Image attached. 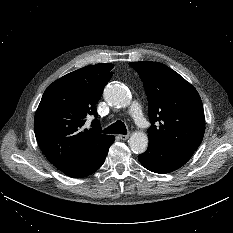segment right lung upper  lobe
Listing matches in <instances>:
<instances>
[{
    "instance_id": "obj_1",
    "label": "right lung upper lobe",
    "mask_w": 233,
    "mask_h": 233,
    "mask_svg": "<svg viewBox=\"0 0 233 233\" xmlns=\"http://www.w3.org/2000/svg\"><path fill=\"white\" fill-rule=\"evenodd\" d=\"M113 64L86 66L53 82L44 92L34 131L46 158L60 171L72 169L99 153L113 136L101 134L98 120L81 130L112 77Z\"/></svg>"
}]
</instances>
